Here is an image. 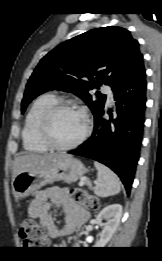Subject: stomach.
<instances>
[{
    "instance_id": "obj_1",
    "label": "stomach",
    "mask_w": 162,
    "mask_h": 261,
    "mask_svg": "<svg viewBox=\"0 0 162 261\" xmlns=\"http://www.w3.org/2000/svg\"><path fill=\"white\" fill-rule=\"evenodd\" d=\"M85 172L86 168L80 160L66 155L45 170L19 173L12 181L13 193L18 198H26L55 181L75 182Z\"/></svg>"
}]
</instances>
